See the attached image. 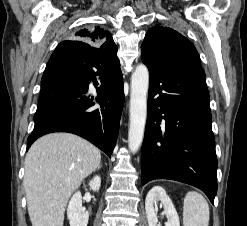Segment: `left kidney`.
I'll list each match as a JSON object with an SVG mask.
<instances>
[{
	"mask_svg": "<svg viewBox=\"0 0 247 226\" xmlns=\"http://www.w3.org/2000/svg\"><path fill=\"white\" fill-rule=\"evenodd\" d=\"M158 201L163 204V214L167 217L165 225L180 226L177 211L166 191L160 186L153 187L146 196L145 209L149 226H157L158 217L154 207Z\"/></svg>",
	"mask_w": 247,
	"mask_h": 226,
	"instance_id": "5707ae66",
	"label": "left kidney"
}]
</instances>
